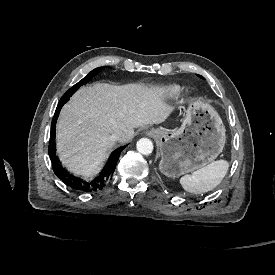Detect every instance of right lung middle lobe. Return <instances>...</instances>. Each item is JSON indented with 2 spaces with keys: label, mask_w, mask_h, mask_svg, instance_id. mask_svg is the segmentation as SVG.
Returning a JSON list of instances; mask_svg holds the SVG:
<instances>
[{
  "label": "right lung middle lobe",
  "mask_w": 275,
  "mask_h": 275,
  "mask_svg": "<svg viewBox=\"0 0 275 275\" xmlns=\"http://www.w3.org/2000/svg\"><path fill=\"white\" fill-rule=\"evenodd\" d=\"M102 67H98L94 70H92L86 77H84L81 81H79L77 84H75L73 87H71L63 96L61 99H69L74 92L83 84L89 82L95 75H97L101 71Z\"/></svg>",
  "instance_id": "right-lung-middle-lobe-1"
}]
</instances>
